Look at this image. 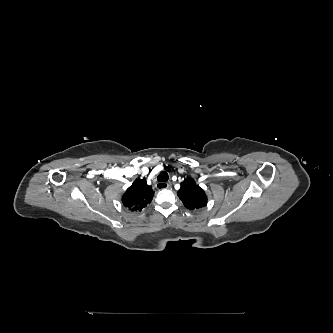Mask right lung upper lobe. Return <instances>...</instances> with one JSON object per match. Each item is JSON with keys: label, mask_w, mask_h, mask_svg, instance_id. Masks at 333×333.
<instances>
[{"label": "right lung upper lobe", "mask_w": 333, "mask_h": 333, "mask_svg": "<svg viewBox=\"0 0 333 333\" xmlns=\"http://www.w3.org/2000/svg\"><path fill=\"white\" fill-rule=\"evenodd\" d=\"M153 194L154 191L146 180L137 178L124 193L122 203L131 211H141L151 202Z\"/></svg>", "instance_id": "obj_1"}]
</instances>
